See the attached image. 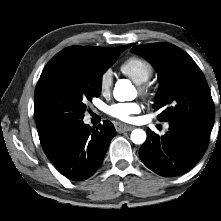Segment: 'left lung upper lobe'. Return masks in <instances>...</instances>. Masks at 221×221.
Here are the masks:
<instances>
[{"label":"left lung upper lobe","mask_w":221,"mask_h":221,"mask_svg":"<svg viewBox=\"0 0 221 221\" xmlns=\"http://www.w3.org/2000/svg\"><path fill=\"white\" fill-rule=\"evenodd\" d=\"M131 51L144 56L158 72L160 88L154 108L163 110L158 120L187 122L210 133L215 119L214 103L194 60L166 42L137 45Z\"/></svg>","instance_id":"left-lung-upper-lobe-1"}]
</instances>
